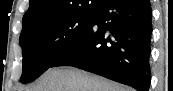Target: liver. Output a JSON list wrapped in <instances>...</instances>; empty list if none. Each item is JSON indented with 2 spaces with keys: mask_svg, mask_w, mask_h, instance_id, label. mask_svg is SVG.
<instances>
[{
  "mask_svg": "<svg viewBox=\"0 0 173 91\" xmlns=\"http://www.w3.org/2000/svg\"><path fill=\"white\" fill-rule=\"evenodd\" d=\"M25 91H132L131 88L75 67L48 69Z\"/></svg>",
  "mask_w": 173,
  "mask_h": 91,
  "instance_id": "6515ba94",
  "label": "liver"
}]
</instances>
